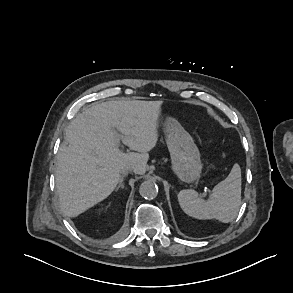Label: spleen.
<instances>
[{
  "mask_svg": "<svg viewBox=\"0 0 293 293\" xmlns=\"http://www.w3.org/2000/svg\"><path fill=\"white\" fill-rule=\"evenodd\" d=\"M241 168L233 165L226 179L219 182L205 201L195 190H181L178 201L182 210L197 219H217L223 223L233 221L241 206Z\"/></svg>",
  "mask_w": 293,
  "mask_h": 293,
  "instance_id": "3e777b00",
  "label": "spleen"
}]
</instances>
